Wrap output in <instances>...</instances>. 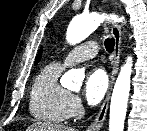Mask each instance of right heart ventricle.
Returning <instances> with one entry per match:
<instances>
[{
    "label": "right heart ventricle",
    "instance_id": "right-heart-ventricle-1",
    "mask_svg": "<svg viewBox=\"0 0 147 131\" xmlns=\"http://www.w3.org/2000/svg\"><path fill=\"white\" fill-rule=\"evenodd\" d=\"M62 69L58 63L48 64L32 84L29 110L39 121L57 124L68 118L67 104L70 93L59 83Z\"/></svg>",
    "mask_w": 147,
    "mask_h": 131
}]
</instances>
